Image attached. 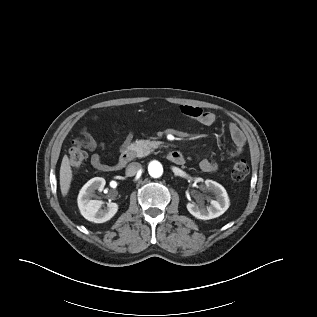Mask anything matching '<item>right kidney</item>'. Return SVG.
I'll return each mask as SVG.
<instances>
[{
  "instance_id": "1",
  "label": "right kidney",
  "mask_w": 317,
  "mask_h": 317,
  "mask_svg": "<svg viewBox=\"0 0 317 317\" xmlns=\"http://www.w3.org/2000/svg\"><path fill=\"white\" fill-rule=\"evenodd\" d=\"M105 183L104 178H92L79 192L77 199L78 207L83 217L88 221L104 223L110 220L118 211V205L116 203H108L105 209H101L103 202L92 199L94 191H101Z\"/></svg>"
}]
</instances>
